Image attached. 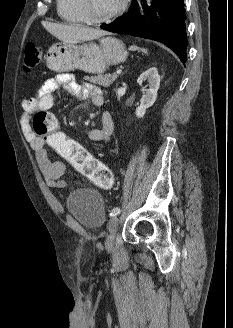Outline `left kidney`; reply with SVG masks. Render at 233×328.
<instances>
[{
  "instance_id": "obj_1",
  "label": "left kidney",
  "mask_w": 233,
  "mask_h": 328,
  "mask_svg": "<svg viewBox=\"0 0 233 328\" xmlns=\"http://www.w3.org/2000/svg\"><path fill=\"white\" fill-rule=\"evenodd\" d=\"M145 80L148 81L149 88L142 96L140 106L136 109L135 114L138 118H142L146 113V109L151 107L156 101L157 91L160 86V76L156 67H151L143 72L137 79V83L141 86Z\"/></svg>"
}]
</instances>
